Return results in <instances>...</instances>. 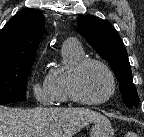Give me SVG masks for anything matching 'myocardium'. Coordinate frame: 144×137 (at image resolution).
Listing matches in <instances>:
<instances>
[{
	"instance_id": "obj_1",
	"label": "myocardium",
	"mask_w": 144,
	"mask_h": 137,
	"mask_svg": "<svg viewBox=\"0 0 144 137\" xmlns=\"http://www.w3.org/2000/svg\"><path fill=\"white\" fill-rule=\"evenodd\" d=\"M91 64L100 66L107 73L110 79L111 89L109 93L100 100H87L81 96L78 90L79 75L88 65H91ZM67 85H68L70 99L74 101L75 103L85 105V106H99V105L105 104L113 98L117 90L116 78L111 68L105 62L99 59H95V58H83L81 61H79L70 70L69 75H68Z\"/></svg>"
}]
</instances>
